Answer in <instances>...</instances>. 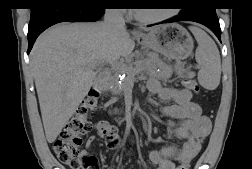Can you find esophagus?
<instances>
[{
	"mask_svg": "<svg viewBox=\"0 0 252 169\" xmlns=\"http://www.w3.org/2000/svg\"><path fill=\"white\" fill-rule=\"evenodd\" d=\"M134 34H139V32H138V31H136V30H134Z\"/></svg>",
	"mask_w": 252,
	"mask_h": 169,
	"instance_id": "34e87169",
	"label": "esophagus"
}]
</instances>
